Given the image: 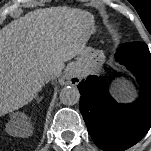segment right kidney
I'll return each mask as SVG.
<instances>
[{"label": "right kidney", "mask_w": 151, "mask_h": 151, "mask_svg": "<svg viewBox=\"0 0 151 151\" xmlns=\"http://www.w3.org/2000/svg\"><path fill=\"white\" fill-rule=\"evenodd\" d=\"M11 122H13V123H17V122L18 123H24V120L20 117V114L16 113V114L13 115ZM13 131H15V130H13ZM19 131H21V129ZM27 131H28V125L25 127V134H26Z\"/></svg>", "instance_id": "right-kidney-1"}]
</instances>
